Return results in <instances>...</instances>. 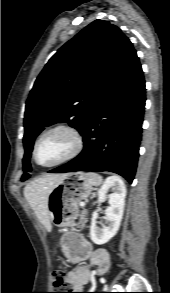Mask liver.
Wrapping results in <instances>:
<instances>
[{
	"mask_svg": "<svg viewBox=\"0 0 170 293\" xmlns=\"http://www.w3.org/2000/svg\"><path fill=\"white\" fill-rule=\"evenodd\" d=\"M67 174H46L39 177L24 188V196L36 214L39 222L49 232L51 231L48 198L52 188Z\"/></svg>",
	"mask_w": 170,
	"mask_h": 293,
	"instance_id": "obj_1",
	"label": "liver"
}]
</instances>
